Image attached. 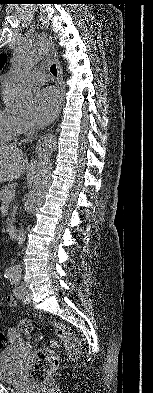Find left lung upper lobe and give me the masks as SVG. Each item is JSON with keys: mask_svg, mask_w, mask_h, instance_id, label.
Wrapping results in <instances>:
<instances>
[{"mask_svg": "<svg viewBox=\"0 0 153 393\" xmlns=\"http://www.w3.org/2000/svg\"><path fill=\"white\" fill-rule=\"evenodd\" d=\"M6 57L4 54L0 55V69L3 67Z\"/></svg>", "mask_w": 153, "mask_h": 393, "instance_id": "left-lung-upper-lobe-1", "label": "left lung upper lobe"}]
</instances>
